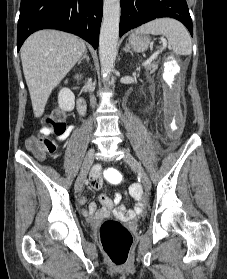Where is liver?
Wrapping results in <instances>:
<instances>
[{
  "mask_svg": "<svg viewBox=\"0 0 227 279\" xmlns=\"http://www.w3.org/2000/svg\"><path fill=\"white\" fill-rule=\"evenodd\" d=\"M85 50L82 39L56 30H41L26 39L21 61L35 117L42 116L52 90Z\"/></svg>",
  "mask_w": 227,
  "mask_h": 279,
  "instance_id": "6515ba94",
  "label": "liver"
}]
</instances>
